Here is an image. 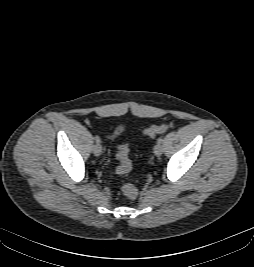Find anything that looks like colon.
Here are the masks:
<instances>
[{"label": "colon", "instance_id": "5ec220e1", "mask_svg": "<svg viewBox=\"0 0 254 267\" xmlns=\"http://www.w3.org/2000/svg\"><path fill=\"white\" fill-rule=\"evenodd\" d=\"M166 130H167L166 124L152 125L148 128H145L143 130V134L149 137H155L159 134L164 133ZM117 158L119 160V165L116 170L117 173L119 175H125L129 173L132 168V164L129 158L128 144H124L119 147L118 152H117ZM122 193L126 198L133 200L137 197L138 190L133 184L127 183L123 185Z\"/></svg>", "mask_w": 254, "mask_h": 267}]
</instances>
